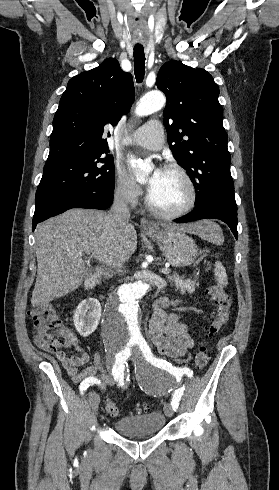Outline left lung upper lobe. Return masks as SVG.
Instances as JSON below:
<instances>
[{
	"label": "left lung upper lobe",
	"mask_w": 279,
	"mask_h": 490,
	"mask_svg": "<svg viewBox=\"0 0 279 490\" xmlns=\"http://www.w3.org/2000/svg\"><path fill=\"white\" fill-rule=\"evenodd\" d=\"M156 85L167 97L164 125L168 142L174 158L195 186V206H201L207 198L237 206L223 108L212 76L172 60L160 68Z\"/></svg>",
	"instance_id": "1"
}]
</instances>
